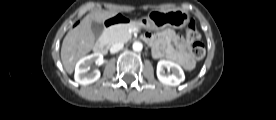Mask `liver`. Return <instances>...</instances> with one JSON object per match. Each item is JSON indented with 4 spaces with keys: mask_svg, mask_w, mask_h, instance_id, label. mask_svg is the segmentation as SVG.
Instances as JSON below:
<instances>
[{
    "mask_svg": "<svg viewBox=\"0 0 276 120\" xmlns=\"http://www.w3.org/2000/svg\"><path fill=\"white\" fill-rule=\"evenodd\" d=\"M116 14L117 12L102 10L90 12L66 34L61 47V60L67 73L71 74L78 60L94 47L95 36L91 30L92 23H103Z\"/></svg>",
    "mask_w": 276,
    "mask_h": 120,
    "instance_id": "obj_1",
    "label": "liver"
}]
</instances>
